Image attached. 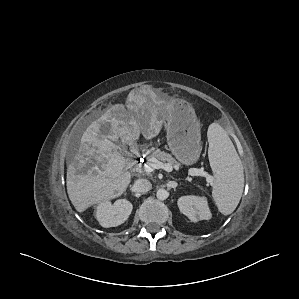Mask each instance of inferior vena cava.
<instances>
[{
	"label": "inferior vena cava",
	"mask_w": 299,
	"mask_h": 299,
	"mask_svg": "<svg viewBox=\"0 0 299 299\" xmlns=\"http://www.w3.org/2000/svg\"><path fill=\"white\" fill-rule=\"evenodd\" d=\"M152 188V184L149 180L147 179H138L134 183V189L136 192H148Z\"/></svg>",
	"instance_id": "inferior-vena-cava-1"
}]
</instances>
